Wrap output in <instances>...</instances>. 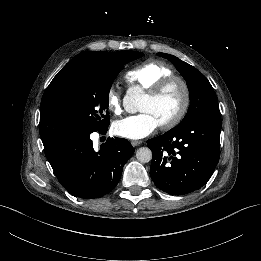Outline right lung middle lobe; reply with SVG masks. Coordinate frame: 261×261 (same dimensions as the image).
<instances>
[{
  "label": "right lung middle lobe",
  "mask_w": 261,
  "mask_h": 261,
  "mask_svg": "<svg viewBox=\"0 0 261 261\" xmlns=\"http://www.w3.org/2000/svg\"><path fill=\"white\" fill-rule=\"evenodd\" d=\"M143 55L141 52H126L122 60L116 64L83 67L71 76L66 90L73 113L72 133H92L109 125L108 113H103L109 105L110 87L123 64ZM40 136L44 149L58 139L46 132H40Z\"/></svg>",
  "instance_id": "right-lung-middle-lobe-1"
}]
</instances>
